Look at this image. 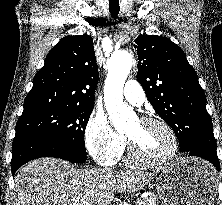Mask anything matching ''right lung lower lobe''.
<instances>
[{"label": "right lung lower lobe", "instance_id": "obj_1", "mask_svg": "<svg viewBox=\"0 0 222 205\" xmlns=\"http://www.w3.org/2000/svg\"><path fill=\"white\" fill-rule=\"evenodd\" d=\"M12 149L11 170L13 176L23 164L39 157L62 158L73 163H82L87 160L86 154L42 136L15 137Z\"/></svg>", "mask_w": 222, "mask_h": 205}]
</instances>
